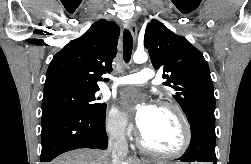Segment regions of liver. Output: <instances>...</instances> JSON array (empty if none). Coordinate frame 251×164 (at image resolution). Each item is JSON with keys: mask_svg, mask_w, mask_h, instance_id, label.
<instances>
[{"mask_svg": "<svg viewBox=\"0 0 251 164\" xmlns=\"http://www.w3.org/2000/svg\"><path fill=\"white\" fill-rule=\"evenodd\" d=\"M123 164H139L135 158L129 157ZM178 164H184L177 162ZM51 164H113L111 152L93 149H79L65 153L55 159Z\"/></svg>", "mask_w": 251, "mask_h": 164, "instance_id": "liver-1", "label": "liver"}]
</instances>
